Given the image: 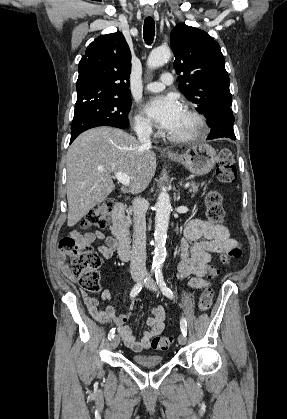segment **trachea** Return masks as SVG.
Returning a JSON list of instances; mask_svg holds the SVG:
<instances>
[{
  "label": "trachea",
  "mask_w": 287,
  "mask_h": 419,
  "mask_svg": "<svg viewBox=\"0 0 287 419\" xmlns=\"http://www.w3.org/2000/svg\"><path fill=\"white\" fill-rule=\"evenodd\" d=\"M143 35L145 43L150 45L155 36V22L152 17H146L144 21V27H143Z\"/></svg>",
  "instance_id": "trachea-1"
}]
</instances>
